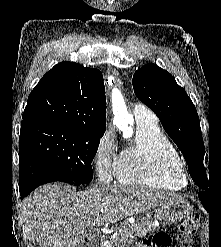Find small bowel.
<instances>
[{
  "label": "small bowel",
  "instance_id": "1",
  "mask_svg": "<svg viewBox=\"0 0 221 247\" xmlns=\"http://www.w3.org/2000/svg\"><path fill=\"white\" fill-rule=\"evenodd\" d=\"M138 247H149V245H147L146 242H144L143 244H140Z\"/></svg>",
  "mask_w": 221,
  "mask_h": 247
}]
</instances>
